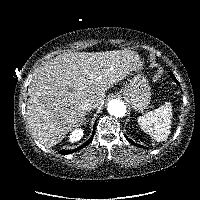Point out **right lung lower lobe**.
<instances>
[{"label": "right lung lower lobe", "mask_w": 200, "mask_h": 200, "mask_svg": "<svg viewBox=\"0 0 200 200\" xmlns=\"http://www.w3.org/2000/svg\"><path fill=\"white\" fill-rule=\"evenodd\" d=\"M93 136H94V133H93V135H92L91 138H89L83 145H81V146L78 147L77 149H74L73 152H74V151H78V150H80L81 148L87 146V145L92 141ZM69 153H72V151H69V150H61V151H60V154H63V155H67V154H69Z\"/></svg>", "instance_id": "obj_1"}]
</instances>
